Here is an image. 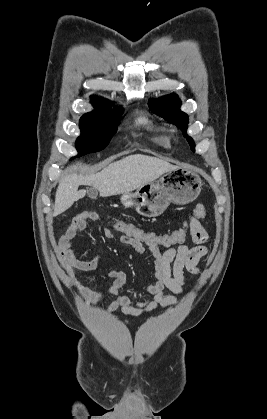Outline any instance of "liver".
<instances>
[{
	"mask_svg": "<svg viewBox=\"0 0 267 419\" xmlns=\"http://www.w3.org/2000/svg\"><path fill=\"white\" fill-rule=\"evenodd\" d=\"M176 168L177 166L162 159L134 154L113 162L96 174H70L59 183L53 216L65 212L74 202L85 196V190L78 191L80 185L92 186L99 191L101 197H109L129 193Z\"/></svg>",
	"mask_w": 267,
	"mask_h": 419,
	"instance_id": "obj_1",
	"label": "liver"
}]
</instances>
